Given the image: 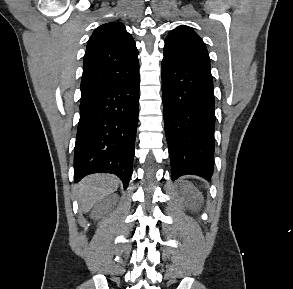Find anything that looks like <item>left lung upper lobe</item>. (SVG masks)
<instances>
[{"instance_id":"obj_1","label":"left lung upper lobe","mask_w":293,"mask_h":289,"mask_svg":"<svg viewBox=\"0 0 293 289\" xmlns=\"http://www.w3.org/2000/svg\"><path fill=\"white\" fill-rule=\"evenodd\" d=\"M164 58L197 68H210V58L204 42L192 28L185 25L168 34L165 39Z\"/></svg>"}]
</instances>
